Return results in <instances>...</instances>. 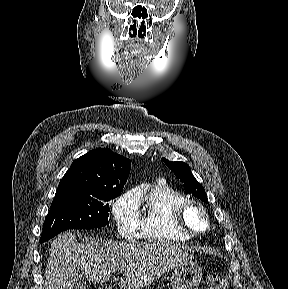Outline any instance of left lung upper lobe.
<instances>
[{
	"label": "left lung upper lobe",
	"mask_w": 288,
	"mask_h": 289,
	"mask_svg": "<svg viewBox=\"0 0 288 289\" xmlns=\"http://www.w3.org/2000/svg\"><path fill=\"white\" fill-rule=\"evenodd\" d=\"M165 164L174 172L175 176L184 184L185 191L208 203L207 194L203 186L195 179L188 164L180 161H168Z\"/></svg>",
	"instance_id": "5c2ea615"
}]
</instances>
